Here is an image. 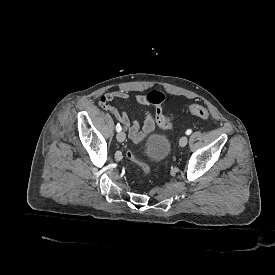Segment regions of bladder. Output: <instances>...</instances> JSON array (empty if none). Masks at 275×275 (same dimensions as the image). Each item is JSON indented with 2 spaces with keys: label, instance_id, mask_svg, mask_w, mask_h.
Here are the masks:
<instances>
[{
  "label": "bladder",
  "instance_id": "bladder-1",
  "mask_svg": "<svg viewBox=\"0 0 275 275\" xmlns=\"http://www.w3.org/2000/svg\"><path fill=\"white\" fill-rule=\"evenodd\" d=\"M143 159L150 165L159 166L164 163L171 149L170 139L160 133H154L145 140Z\"/></svg>",
  "mask_w": 275,
  "mask_h": 275
}]
</instances>
